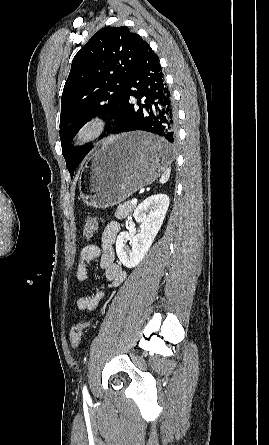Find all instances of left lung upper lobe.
Returning <instances> with one entry per match:
<instances>
[{
    "label": "left lung upper lobe",
    "mask_w": 269,
    "mask_h": 445,
    "mask_svg": "<svg viewBox=\"0 0 269 445\" xmlns=\"http://www.w3.org/2000/svg\"><path fill=\"white\" fill-rule=\"evenodd\" d=\"M148 43L128 27H104L72 61L61 99L60 139L71 177L92 146L73 147L79 128L97 115L119 121L128 81Z\"/></svg>",
    "instance_id": "1"
}]
</instances>
